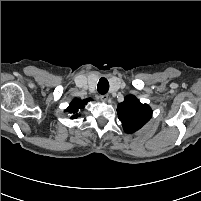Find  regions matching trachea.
<instances>
[{
  "label": "trachea",
  "instance_id": "1",
  "mask_svg": "<svg viewBox=\"0 0 201 201\" xmlns=\"http://www.w3.org/2000/svg\"><path fill=\"white\" fill-rule=\"evenodd\" d=\"M97 90L100 94L104 95L109 90V82L106 78H101L97 85Z\"/></svg>",
  "mask_w": 201,
  "mask_h": 201
}]
</instances>
